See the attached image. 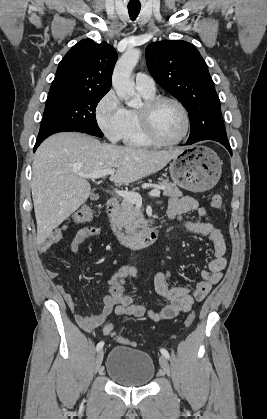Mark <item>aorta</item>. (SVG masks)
I'll return each instance as SVG.
<instances>
[{"label": "aorta", "mask_w": 267, "mask_h": 419, "mask_svg": "<svg viewBox=\"0 0 267 419\" xmlns=\"http://www.w3.org/2000/svg\"><path fill=\"white\" fill-rule=\"evenodd\" d=\"M140 50L130 49L123 53L117 61L113 76L112 85L119 98L123 99L129 107L138 108L141 106V98L135 92V84L131 79V74L136 66Z\"/></svg>", "instance_id": "obj_1"}]
</instances>
